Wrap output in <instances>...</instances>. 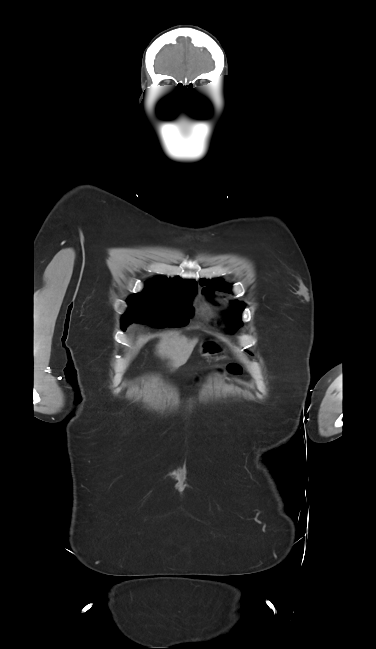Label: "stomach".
<instances>
[{
	"mask_svg": "<svg viewBox=\"0 0 376 649\" xmlns=\"http://www.w3.org/2000/svg\"><path fill=\"white\" fill-rule=\"evenodd\" d=\"M200 353L207 358H214L216 360L226 358L225 348L214 340L202 342L200 345Z\"/></svg>",
	"mask_w": 376,
	"mask_h": 649,
	"instance_id": "stomach-1",
	"label": "stomach"
}]
</instances>
